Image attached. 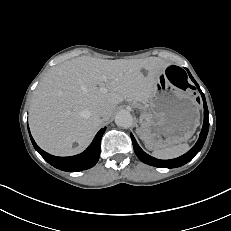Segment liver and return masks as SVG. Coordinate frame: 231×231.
<instances>
[{
  "instance_id": "liver-1",
  "label": "liver",
  "mask_w": 231,
  "mask_h": 231,
  "mask_svg": "<svg viewBox=\"0 0 231 231\" xmlns=\"http://www.w3.org/2000/svg\"><path fill=\"white\" fill-rule=\"evenodd\" d=\"M167 66L157 57L103 60L81 56L51 68L31 100L29 126L36 143L56 156L82 152L104 121L98 112L105 109L111 116L124 99L148 102L158 73ZM75 142L77 147H73Z\"/></svg>"
}]
</instances>
